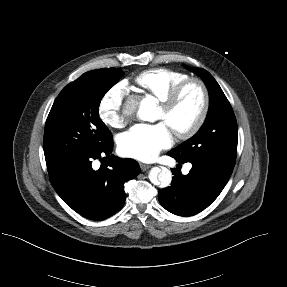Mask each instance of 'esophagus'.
Returning a JSON list of instances; mask_svg holds the SVG:
<instances>
[{
	"mask_svg": "<svg viewBox=\"0 0 287 287\" xmlns=\"http://www.w3.org/2000/svg\"><path fill=\"white\" fill-rule=\"evenodd\" d=\"M150 167H151V165H149V164L140 163V168L142 171H146Z\"/></svg>",
	"mask_w": 287,
	"mask_h": 287,
	"instance_id": "obj_1",
	"label": "esophagus"
}]
</instances>
